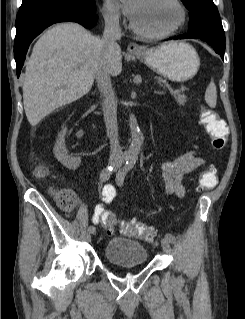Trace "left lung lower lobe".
<instances>
[{
  "label": "left lung lower lobe",
  "mask_w": 245,
  "mask_h": 319,
  "mask_svg": "<svg viewBox=\"0 0 245 319\" xmlns=\"http://www.w3.org/2000/svg\"><path fill=\"white\" fill-rule=\"evenodd\" d=\"M192 38H197V39L206 41L208 44H210L213 47L216 53L220 54L221 58L224 60L225 45L221 44L220 42L212 38H209L206 36H200V35L183 34V35H179L169 39H192Z\"/></svg>",
  "instance_id": "left-lung-lower-lobe-1"
}]
</instances>
